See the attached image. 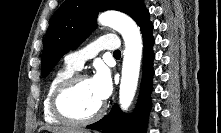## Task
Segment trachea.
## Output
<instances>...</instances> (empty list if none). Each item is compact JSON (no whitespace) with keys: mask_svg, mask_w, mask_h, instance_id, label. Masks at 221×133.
<instances>
[{"mask_svg":"<svg viewBox=\"0 0 221 133\" xmlns=\"http://www.w3.org/2000/svg\"><path fill=\"white\" fill-rule=\"evenodd\" d=\"M113 55H114V56H120V55H121V52H120L119 50H117V51H115V52L113 53Z\"/></svg>","mask_w":221,"mask_h":133,"instance_id":"1","label":"trachea"}]
</instances>
